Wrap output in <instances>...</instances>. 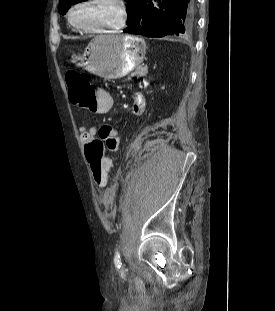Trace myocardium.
Listing matches in <instances>:
<instances>
[{"instance_id": "1", "label": "myocardium", "mask_w": 275, "mask_h": 311, "mask_svg": "<svg viewBox=\"0 0 275 311\" xmlns=\"http://www.w3.org/2000/svg\"><path fill=\"white\" fill-rule=\"evenodd\" d=\"M95 1H102V2H106V3L113 5L117 12L116 19L111 23H106V24L96 25V26H81V25L75 24L72 20V15L74 11L78 9L79 7H82L88 3L95 2ZM127 17H128V11L124 3V0H79L69 8L67 15H66L67 22L73 29L77 31H82V32H99V33L121 29L126 24Z\"/></svg>"}]
</instances>
